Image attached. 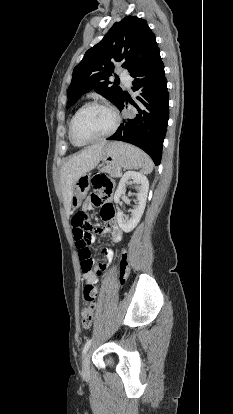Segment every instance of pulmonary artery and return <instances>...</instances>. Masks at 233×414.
<instances>
[{
  "instance_id": "pulmonary-artery-1",
  "label": "pulmonary artery",
  "mask_w": 233,
  "mask_h": 414,
  "mask_svg": "<svg viewBox=\"0 0 233 414\" xmlns=\"http://www.w3.org/2000/svg\"><path fill=\"white\" fill-rule=\"evenodd\" d=\"M120 78L127 86H130L131 78L127 73L121 72L120 73Z\"/></svg>"
}]
</instances>
